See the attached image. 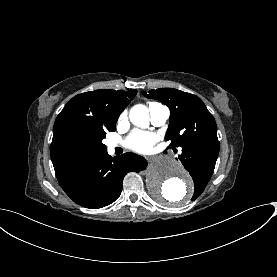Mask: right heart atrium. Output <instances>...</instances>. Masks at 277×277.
I'll use <instances>...</instances> for the list:
<instances>
[{
	"label": "right heart atrium",
	"instance_id": "d8ad5b80",
	"mask_svg": "<svg viewBox=\"0 0 277 277\" xmlns=\"http://www.w3.org/2000/svg\"><path fill=\"white\" fill-rule=\"evenodd\" d=\"M123 120H124V118L121 116V117L119 118V123L123 122Z\"/></svg>",
	"mask_w": 277,
	"mask_h": 277
}]
</instances>
